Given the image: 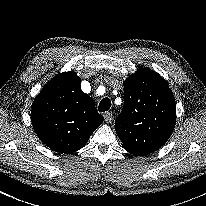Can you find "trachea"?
I'll return each mask as SVG.
<instances>
[{
  "mask_svg": "<svg viewBox=\"0 0 206 206\" xmlns=\"http://www.w3.org/2000/svg\"><path fill=\"white\" fill-rule=\"evenodd\" d=\"M110 107H111V101L109 98H103L99 103L100 112L108 111Z\"/></svg>",
  "mask_w": 206,
  "mask_h": 206,
  "instance_id": "1",
  "label": "trachea"
}]
</instances>
